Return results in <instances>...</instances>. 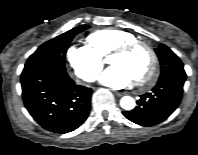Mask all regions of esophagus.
Segmentation results:
<instances>
[{
  "instance_id": "obj_1",
  "label": "esophagus",
  "mask_w": 198,
  "mask_h": 155,
  "mask_svg": "<svg viewBox=\"0 0 198 155\" xmlns=\"http://www.w3.org/2000/svg\"><path fill=\"white\" fill-rule=\"evenodd\" d=\"M115 94H116L118 97H121V96H124V95H125L124 92H115Z\"/></svg>"
}]
</instances>
